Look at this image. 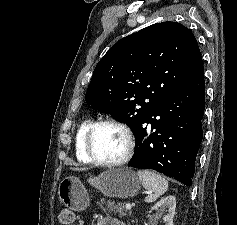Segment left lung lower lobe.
<instances>
[{
  "label": "left lung lower lobe",
  "instance_id": "1",
  "mask_svg": "<svg viewBox=\"0 0 237 225\" xmlns=\"http://www.w3.org/2000/svg\"><path fill=\"white\" fill-rule=\"evenodd\" d=\"M204 109L203 81L159 101L133 131L135 151L129 166L153 169L191 186Z\"/></svg>",
  "mask_w": 237,
  "mask_h": 225
}]
</instances>
